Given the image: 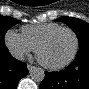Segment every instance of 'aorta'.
Masks as SVG:
<instances>
[{
    "label": "aorta",
    "instance_id": "762f6f07",
    "mask_svg": "<svg viewBox=\"0 0 89 89\" xmlns=\"http://www.w3.org/2000/svg\"><path fill=\"white\" fill-rule=\"evenodd\" d=\"M30 77L34 82L40 83L45 77L44 70L40 67H33L30 70Z\"/></svg>",
    "mask_w": 89,
    "mask_h": 89
}]
</instances>
